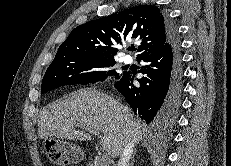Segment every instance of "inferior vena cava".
Here are the masks:
<instances>
[{"mask_svg":"<svg viewBox=\"0 0 231 166\" xmlns=\"http://www.w3.org/2000/svg\"><path fill=\"white\" fill-rule=\"evenodd\" d=\"M125 109L127 110L126 107H125ZM135 143H136L135 140H133V141H131L125 145V147H124V149L120 155V159L118 161L117 166H129Z\"/></svg>","mask_w":231,"mask_h":166,"instance_id":"602c4592","label":"inferior vena cava"}]
</instances>
